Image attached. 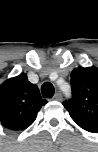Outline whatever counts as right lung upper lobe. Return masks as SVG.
Masks as SVG:
<instances>
[{"label": "right lung upper lobe", "mask_w": 98, "mask_h": 152, "mask_svg": "<svg viewBox=\"0 0 98 152\" xmlns=\"http://www.w3.org/2000/svg\"><path fill=\"white\" fill-rule=\"evenodd\" d=\"M46 103L38 87L28 81L27 74L21 73L0 85V123L13 131L24 130Z\"/></svg>", "instance_id": "obj_1"}]
</instances>
